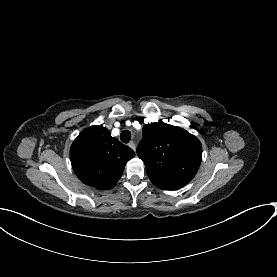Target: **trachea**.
<instances>
[{
	"label": "trachea",
	"mask_w": 277,
	"mask_h": 277,
	"mask_svg": "<svg viewBox=\"0 0 277 277\" xmlns=\"http://www.w3.org/2000/svg\"><path fill=\"white\" fill-rule=\"evenodd\" d=\"M120 139L123 143H129L131 139V133L128 130H123L120 134Z\"/></svg>",
	"instance_id": "1"
}]
</instances>
